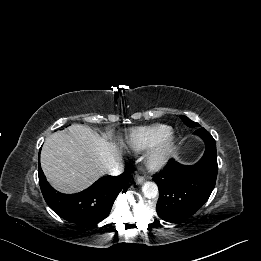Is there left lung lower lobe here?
Listing matches in <instances>:
<instances>
[{
    "label": "left lung lower lobe",
    "mask_w": 261,
    "mask_h": 261,
    "mask_svg": "<svg viewBox=\"0 0 261 261\" xmlns=\"http://www.w3.org/2000/svg\"><path fill=\"white\" fill-rule=\"evenodd\" d=\"M195 134L206 144L200 161L186 166L171 159L153 179L159 188L156 211L168 222L193 215L208 200L215 186L218 172L215 140L204 128Z\"/></svg>",
    "instance_id": "0a47b994"
}]
</instances>
